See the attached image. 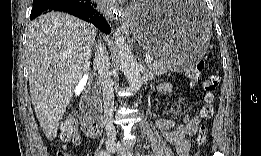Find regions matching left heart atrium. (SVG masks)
<instances>
[{
  "mask_svg": "<svg viewBox=\"0 0 261 156\" xmlns=\"http://www.w3.org/2000/svg\"><path fill=\"white\" fill-rule=\"evenodd\" d=\"M105 5L109 4L108 2H104Z\"/></svg>",
  "mask_w": 261,
  "mask_h": 156,
  "instance_id": "39dd6f15",
  "label": "left heart atrium"
}]
</instances>
